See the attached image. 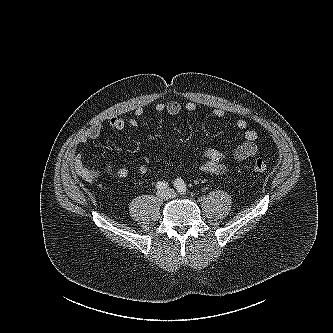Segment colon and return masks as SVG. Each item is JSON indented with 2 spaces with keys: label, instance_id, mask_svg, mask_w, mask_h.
Instances as JSON below:
<instances>
[{
  "label": "colon",
  "instance_id": "1",
  "mask_svg": "<svg viewBox=\"0 0 333 333\" xmlns=\"http://www.w3.org/2000/svg\"><path fill=\"white\" fill-rule=\"evenodd\" d=\"M252 166H253V169L256 172H259V173H264V172H266L269 169V164L262 157L255 158L253 160Z\"/></svg>",
  "mask_w": 333,
  "mask_h": 333
}]
</instances>
